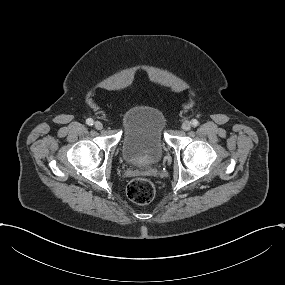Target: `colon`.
Here are the masks:
<instances>
[{"label": "colon", "instance_id": "colon-1", "mask_svg": "<svg viewBox=\"0 0 285 285\" xmlns=\"http://www.w3.org/2000/svg\"><path fill=\"white\" fill-rule=\"evenodd\" d=\"M154 195V185L147 179H134L127 186V196L136 204H147L152 201Z\"/></svg>", "mask_w": 285, "mask_h": 285}]
</instances>
